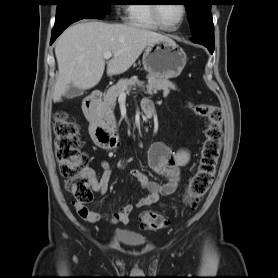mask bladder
<instances>
[{
	"label": "bladder",
	"instance_id": "31cf9c89",
	"mask_svg": "<svg viewBox=\"0 0 278 278\" xmlns=\"http://www.w3.org/2000/svg\"><path fill=\"white\" fill-rule=\"evenodd\" d=\"M113 238L118 243L130 247L141 246L146 242V239L143 236L124 230L115 231Z\"/></svg>",
	"mask_w": 278,
	"mask_h": 278
}]
</instances>
